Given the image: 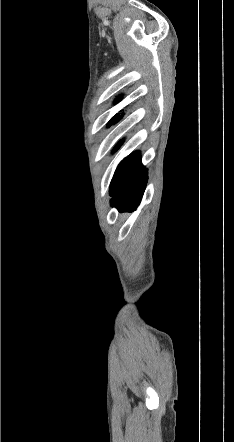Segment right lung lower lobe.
<instances>
[{
  "mask_svg": "<svg viewBox=\"0 0 234 442\" xmlns=\"http://www.w3.org/2000/svg\"><path fill=\"white\" fill-rule=\"evenodd\" d=\"M121 117L117 115L116 121ZM147 180V170L141 163V155L139 152H133L118 165L112 178L111 205L117 207L120 212L136 209L142 199Z\"/></svg>",
  "mask_w": 234,
  "mask_h": 442,
  "instance_id": "98d812e1",
  "label": "right lung lower lobe"
}]
</instances>
